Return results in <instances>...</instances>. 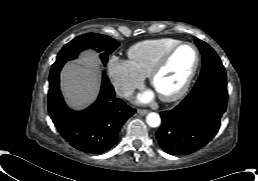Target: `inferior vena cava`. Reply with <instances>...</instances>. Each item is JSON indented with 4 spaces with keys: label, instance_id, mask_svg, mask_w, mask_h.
<instances>
[{
    "label": "inferior vena cava",
    "instance_id": "inferior-vena-cava-1",
    "mask_svg": "<svg viewBox=\"0 0 258 181\" xmlns=\"http://www.w3.org/2000/svg\"><path fill=\"white\" fill-rule=\"evenodd\" d=\"M116 93L124 98H129L134 93V88L124 84H118L115 87Z\"/></svg>",
    "mask_w": 258,
    "mask_h": 181
}]
</instances>
